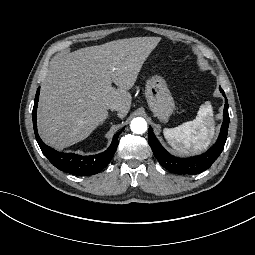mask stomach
<instances>
[{
  "mask_svg": "<svg viewBox=\"0 0 255 255\" xmlns=\"http://www.w3.org/2000/svg\"><path fill=\"white\" fill-rule=\"evenodd\" d=\"M145 97L154 115L166 122L175 109V103L162 76L153 75L146 81Z\"/></svg>",
  "mask_w": 255,
  "mask_h": 255,
  "instance_id": "obj_1",
  "label": "stomach"
}]
</instances>
